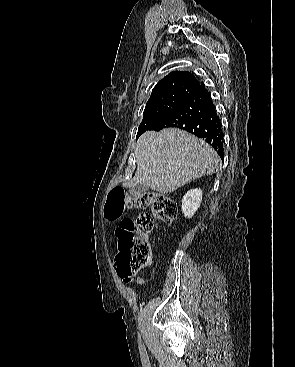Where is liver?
Wrapping results in <instances>:
<instances>
[{
  "mask_svg": "<svg viewBox=\"0 0 295 367\" xmlns=\"http://www.w3.org/2000/svg\"><path fill=\"white\" fill-rule=\"evenodd\" d=\"M137 170L128 186L143 184L166 194L218 171L220 158L205 141L176 128L147 131L135 148Z\"/></svg>",
  "mask_w": 295,
  "mask_h": 367,
  "instance_id": "obj_1",
  "label": "liver"
}]
</instances>
